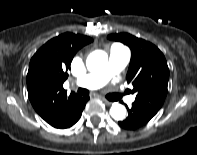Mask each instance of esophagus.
<instances>
[{"instance_id":"obj_1","label":"esophagus","mask_w":197,"mask_h":155,"mask_svg":"<svg viewBox=\"0 0 197 155\" xmlns=\"http://www.w3.org/2000/svg\"><path fill=\"white\" fill-rule=\"evenodd\" d=\"M103 102L106 104V105H112L113 103L111 101H108L106 99H102Z\"/></svg>"}]
</instances>
